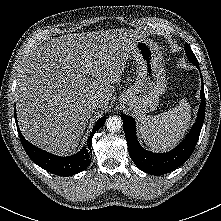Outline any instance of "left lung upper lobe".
Masks as SVG:
<instances>
[{
  "label": "left lung upper lobe",
  "mask_w": 221,
  "mask_h": 221,
  "mask_svg": "<svg viewBox=\"0 0 221 221\" xmlns=\"http://www.w3.org/2000/svg\"><path fill=\"white\" fill-rule=\"evenodd\" d=\"M185 52L189 61L193 63L195 66H199L198 60L194 55L193 51L191 50L190 46L188 45V43L185 44Z\"/></svg>",
  "instance_id": "1"
}]
</instances>
